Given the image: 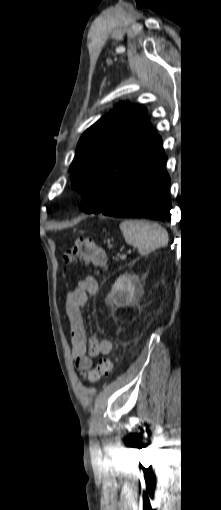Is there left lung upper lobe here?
<instances>
[{
    "label": "left lung upper lobe",
    "mask_w": 221,
    "mask_h": 510,
    "mask_svg": "<svg viewBox=\"0 0 221 510\" xmlns=\"http://www.w3.org/2000/svg\"><path fill=\"white\" fill-rule=\"evenodd\" d=\"M145 114L142 106L121 103L84 132L70 166L71 186L83 203L104 208L163 152L162 139Z\"/></svg>",
    "instance_id": "1"
}]
</instances>
